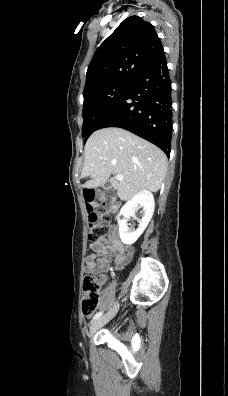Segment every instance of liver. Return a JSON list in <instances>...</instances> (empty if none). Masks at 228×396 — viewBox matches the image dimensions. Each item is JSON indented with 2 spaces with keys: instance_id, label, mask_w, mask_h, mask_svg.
Returning a JSON list of instances; mask_svg holds the SVG:
<instances>
[{
  "instance_id": "obj_1",
  "label": "liver",
  "mask_w": 228,
  "mask_h": 396,
  "mask_svg": "<svg viewBox=\"0 0 228 396\" xmlns=\"http://www.w3.org/2000/svg\"><path fill=\"white\" fill-rule=\"evenodd\" d=\"M85 162L81 177L84 188L102 186L111 175V187L121 200L127 201L142 190L157 192L167 172V157L154 144L121 128L95 131L85 145Z\"/></svg>"
}]
</instances>
